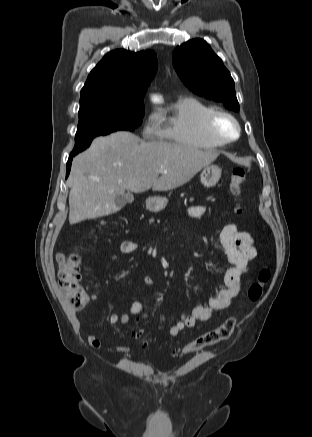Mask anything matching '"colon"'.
<instances>
[{
    "label": "colon",
    "mask_w": 312,
    "mask_h": 437,
    "mask_svg": "<svg viewBox=\"0 0 312 437\" xmlns=\"http://www.w3.org/2000/svg\"><path fill=\"white\" fill-rule=\"evenodd\" d=\"M245 180L246 175L243 168L237 167L232 170L230 177V190L234 197L238 198L241 195ZM57 261L59 263V285L67 298L70 307L79 310L89 302L88 293L81 284V258L76 252H61L57 255ZM270 277L271 274L267 268H264L259 272L257 280L249 286L247 291V297L250 301L255 302L261 298ZM235 326L236 319L234 317H229L217 328L204 333L185 345L181 351L184 354L194 353L225 341L233 334ZM134 336L136 338L141 337V331L138 328L134 331Z\"/></svg>",
    "instance_id": "colon-1"
}]
</instances>
